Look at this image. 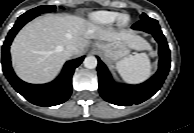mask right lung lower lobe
<instances>
[{"instance_id": "98d812e1", "label": "right lung lower lobe", "mask_w": 194, "mask_h": 133, "mask_svg": "<svg viewBox=\"0 0 194 133\" xmlns=\"http://www.w3.org/2000/svg\"><path fill=\"white\" fill-rule=\"evenodd\" d=\"M33 18L35 17L21 15L9 31L2 46L3 72L13 88L31 103L38 106H55L65 102L70 97L72 93V75L84 57L67 62L59 78L51 83L36 85L20 80L11 67L10 45L17 32Z\"/></svg>"}]
</instances>
